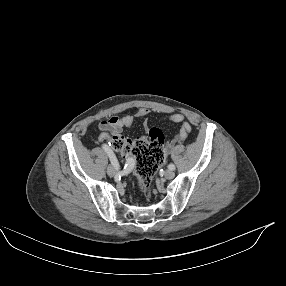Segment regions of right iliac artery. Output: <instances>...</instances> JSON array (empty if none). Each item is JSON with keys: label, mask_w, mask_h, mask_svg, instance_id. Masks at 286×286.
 <instances>
[{"label": "right iliac artery", "mask_w": 286, "mask_h": 286, "mask_svg": "<svg viewBox=\"0 0 286 286\" xmlns=\"http://www.w3.org/2000/svg\"><path fill=\"white\" fill-rule=\"evenodd\" d=\"M102 148L105 150V152L108 154L109 158H110V161H111V164L118 168L119 167V163H118V160L116 158V156L114 155V153L112 152V150L110 149V147L107 145V144H103L102 145ZM134 164V160L132 158H128L127 159V162H126V165L124 168H129L131 167L132 165Z\"/></svg>", "instance_id": "82829eb1"}]
</instances>
